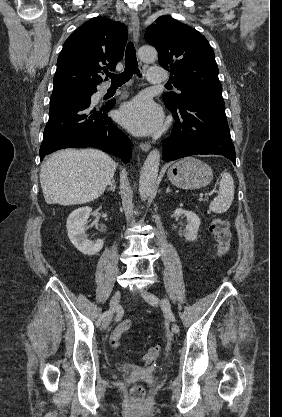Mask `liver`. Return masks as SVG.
Listing matches in <instances>:
<instances>
[{"label": "liver", "mask_w": 282, "mask_h": 417, "mask_svg": "<svg viewBox=\"0 0 282 417\" xmlns=\"http://www.w3.org/2000/svg\"><path fill=\"white\" fill-rule=\"evenodd\" d=\"M117 162L102 150L63 148L43 162L40 182L47 204H84L103 194Z\"/></svg>", "instance_id": "obj_1"}]
</instances>
